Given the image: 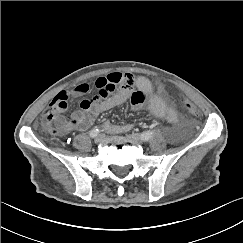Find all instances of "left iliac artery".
Returning a JSON list of instances; mask_svg holds the SVG:
<instances>
[{
    "mask_svg": "<svg viewBox=\"0 0 243 243\" xmlns=\"http://www.w3.org/2000/svg\"><path fill=\"white\" fill-rule=\"evenodd\" d=\"M154 133V130L145 131L141 134V137L144 141H148L153 137Z\"/></svg>",
    "mask_w": 243,
    "mask_h": 243,
    "instance_id": "1",
    "label": "left iliac artery"
}]
</instances>
